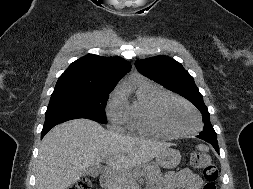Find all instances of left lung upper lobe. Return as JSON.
<instances>
[{"mask_svg": "<svg viewBox=\"0 0 253 189\" xmlns=\"http://www.w3.org/2000/svg\"><path fill=\"white\" fill-rule=\"evenodd\" d=\"M135 65L142 75L192 102L204 117L205 123L201 133L216 135L210 123V114L204 104L203 96L195 85L193 77L179 62L167 56H156L144 60H137Z\"/></svg>", "mask_w": 253, "mask_h": 189, "instance_id": "obj_1", "label": "left lung upper lobe"}]
</instances>
